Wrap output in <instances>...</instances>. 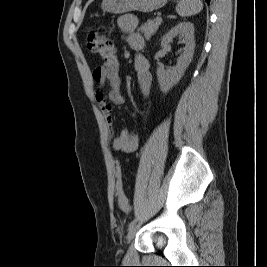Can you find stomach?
<instances>
[{
    "label": "stomach",
    "instance_id": "stomach-1",
    "mask_svg": "<svg viewBox=\"0 0 267 267\" xmlns=\"http://www.w3.org/2000/svg\"><path fill=\"white\" fill-rule=\"evenodd\" d=\"M168 0H103V11L122 14L130 11L152 12L166 5Z\"/></svg>",
    "mask_w": 267,
    "mask_h": 267
}]
</instances>
